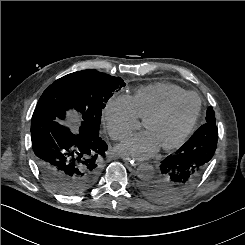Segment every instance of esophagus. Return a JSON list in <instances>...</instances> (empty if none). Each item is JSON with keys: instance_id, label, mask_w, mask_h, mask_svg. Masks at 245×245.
<instances>
[{"instance_id": "obj_1", "label": "esophagus", "mask_w": 245, "mask_h": 245, "mask_svg": "<svg viewBox=\"0 0 245 245\" xmlns=\"http://www.w3.org/2000/svg\"><path fill=\"white\" fill-rule=\"evenodd\" d=\"M123 161L127 162L131 167H137L140 162L134 158H130V157H122Z\"/></svg>"}]
</instances>
